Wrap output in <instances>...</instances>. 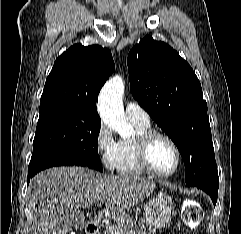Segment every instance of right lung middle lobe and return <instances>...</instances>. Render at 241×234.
Wrapping results in <instances>:
<instances>
[{
    "mask_svg": "<svg viewBox=\"0 0 241 234\" xmlns=\"http://www.w3.org/2000/svg\"><path fill=\"white\" fill-rule=\"evenodd\" d=\"M101 120L78 108L48 106L40 108L31 160L49 154L66 153L86 166L103 171L98 155Z\"/></svg>",
    "mask_w": 241,
    "mask_h": 234,
    "instance_id": "1",
    "label": "right lung middle lobe"
}]
</instances>
